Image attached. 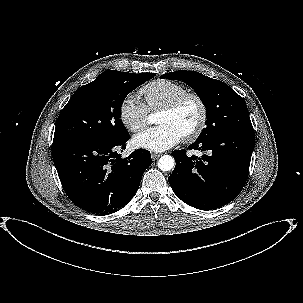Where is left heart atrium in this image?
Masks as SVG:
<instances>
[{
  "label": "left heart atrium",
  "mask_w": 303,
  "mask_h": 303,
  "mask_svg": "<svg viewBox=\"0 0 303 303\" xmlns=\"http://www.w3.org/2000/svg\"><path fill=\"white\" fill-rule=\"evenodd\" d=\"M182 139V135L170 124H159L137 134L133 142L139 148L151 151H165Z\"/></svg>",
  "instance_id": "left-heart-atrium-1"
}]
</instances>
